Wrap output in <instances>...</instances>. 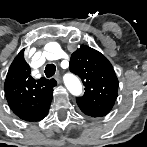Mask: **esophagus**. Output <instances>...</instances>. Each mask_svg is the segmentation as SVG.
<instances>
[{"label": "esophagus", "mask_w": 147, "mask_h": 147, "mask_svg": "<svg viewBox=\"0 0 147 147\" xmlns=\"http://www.w3.org/2000/svg\"><path fill=\"white\" fill-rule=\"evenodd\" d=\"M55 79H56V81H57L58 83L60 82V73H59V72L56 73Z\"/></svg>", "instance_id": "esophagus-1"}]
</instances>
